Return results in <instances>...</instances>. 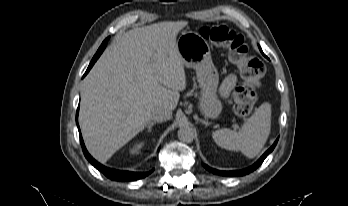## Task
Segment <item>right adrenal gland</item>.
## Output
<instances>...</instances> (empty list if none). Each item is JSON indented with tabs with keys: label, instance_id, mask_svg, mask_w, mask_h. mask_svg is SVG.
Instances as JSON below:
<instances>
[{
	"label": "right adrenal gland",
	"instance_id": "right-adrenal-gland-1",
	"mask_svg": "<svg viewBox=\"0 0 348 206\" xmlns=\"http://www.w3.org/2000/svg\"><path fill=\"white\" fill-rule=\"evenodd\" d=\"M156 123H160L158 121H149L148 124L146 125L147 128V132H150L152 127L156 124Z\"/></svg>",
	"mask_w": 348,
	"mask_h": 206
}]
</instances>
